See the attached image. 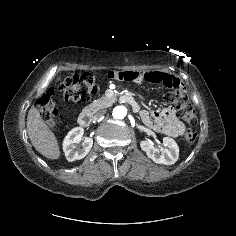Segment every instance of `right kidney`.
I'll return each mask as SVG.
<instances>
[{
    "label": "right kidney",
    "instance_id": "right-kidney-1",
    "mask_svg": "<svg viewBox=\"0 0 236 236\" xmlns=\"http://www.w3.org/2000/svg\"><path fill=\"white\" fill-rule=\"evenodd\" d=\"M84 129L82 127L73 128L68 132L63 141V151L69 162L83 159L91 150L93 139L85 137L82 146H78L82 140Z\"/></svg>",
    "mask_w": 236,
    "mask_h": 236
}]
</instances>
